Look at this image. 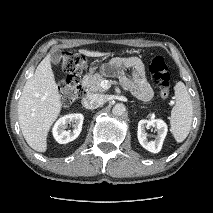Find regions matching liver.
I'll use <instances>...</instances> for the list:
<instances>
[{
    "label": "liver",
    "mask_w": 213,
    "mask_h": 213,
    "mask_svg": "<svg viewBox=\"0 0 213 213\" xmlns=\"http://www.w3.org/2000/svg\"><path fill=\"white\" fill-rule=\"evenodd\" d=\"M85 56L99 57L102 52L79 50ZM61 96L51 68L50 54L37 66L23 88L18 103V119L28 145L37 152L47 149L48 132L61 111Z\"/></svg>",
    "instance_id": "obj_1"
}]
</instances>
